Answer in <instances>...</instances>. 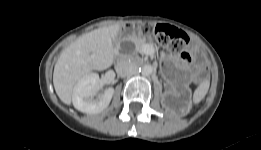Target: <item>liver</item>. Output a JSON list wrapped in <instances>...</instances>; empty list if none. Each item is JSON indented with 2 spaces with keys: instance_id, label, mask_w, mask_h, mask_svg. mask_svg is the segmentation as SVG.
Instances as JSON below:
<instances>
[{
  "instance_id": "1",
  "label": "liver",
  "mask_w": 261,
  "mask_h": 150,
  "mask_svg": "<svg viewBox=\"0 0 261 150\" xmlns=\"http://www.w3.org/2000/svg\"><path fill=\"white\" fill-rule=\"evenodd\" d=\"M121 32L119 24L83 34L63 50L53 73V84L60 100L70 105L75 84L93 70H105L114 62L113 41Z\"/></svg>"
}]
</instances>
